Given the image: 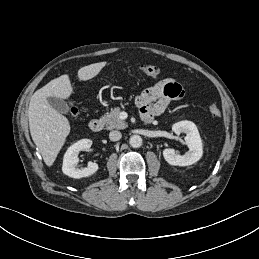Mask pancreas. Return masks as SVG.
Segmentation results:
<instances>
[{
	"mask_svg": "<svg viewBox=\"0 0 259 259\" xmlns=\"http://www.w3.org/2000/svg\"><path fill=\"white\" fill-rule=\"evenodd\" d=\"M120 113L121 109L116 107L102 117V120L105 122L108 130L125 129L127 127V123L120 119Z\"/></svg>",
	"mask_w": 259,
	"mask_h": 259,
	"instance_id": "pancreas-1",
	"label": "pancreas"
}]
</instances>
